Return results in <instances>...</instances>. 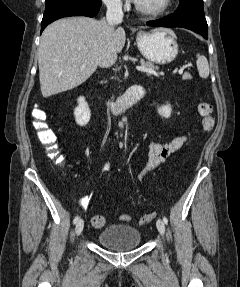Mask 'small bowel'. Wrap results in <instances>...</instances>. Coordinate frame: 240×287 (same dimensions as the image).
Listing matches in <instances>:
<instances>
[{"mask_svg":"<svg viewBox=\"0 0 240 287\" xmlns=\"http://www.w3.org/2000/svg\"><path fill=\"white\" fill-rule=\"evenodd\" d=\"M187 137L182 135L174 138L168 143L151 142L149 145V160L146 167L141 171L139 178L144 177L147 173L155 167L164 163L171 154L177 152L186 143ZM110 169V163H105L102 166V171L106 172ZM89 198L83 197L81 205L85 207L88 204Z\"/></svg>","mask_w":240,"mask_h":287,"instance_id":"small-bowel-1","label":"small bowel"}]
</instances>
